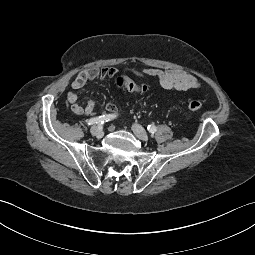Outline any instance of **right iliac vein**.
<instances>
[{"instance_id": "63e3f726", "label": "right iliac vein", "mask_w": 255, "mask_h": 255, "mask_svg": "<svg viewBox=\"0 0 255 255\" xmlns=\"http://www.w3.org/2000/svg\"><path fill=\"white\" fill-rule=\"evenodd\" d=\"M91 134L97 138H102L103 136V131L101 128L97 127V126H93L90 130Z\"/></svg>"}]
</instances>
